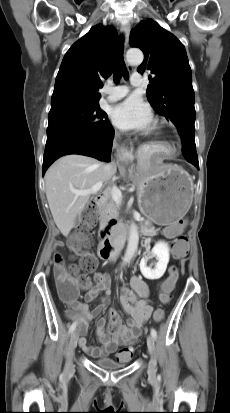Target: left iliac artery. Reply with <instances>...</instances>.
<instances>
[{
  "label": "left iliac artery",
  "instance_id": "left-iliac-artery-1",
  "mask_svg": "<svg viewBox=\"0 0 230 413\" xmlns=\"http://www.w3.org/2000/svg\"><path fill=\"white\" fill-rule=\"evenodd\" d=\"M151 335L156 338L157 337V331L155 329H151Z\"/></svg>",
  "mask_w": 230,
  "mask_h": 413
}]
</instances>
